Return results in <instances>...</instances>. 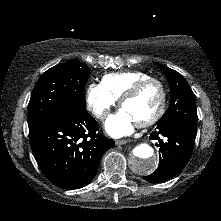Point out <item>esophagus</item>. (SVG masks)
Wrapping results in <instances>:
<instances>
[{
  "mask_svg": "<svg viewBox=\"0 0 221 221\" xmlns=\"http://www.w3.org/2000/svg\"><path fill=\"white\" fill-rule=\"evenodd\" d=\"M130 140L128 139H122V140H116V145H123V144H126L128 143Z\"/></svg>",
  "mask_w": 221,
  "mask_h": 221,
  "instance_id": "obj_1",
  "label": "esophagus"
}]
</instances>
